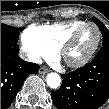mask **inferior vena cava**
I'll return each mask as SVG.
<instances>
[{"label": "inferior vena cava", "mask_w": 109, "mask_h": 109, "mask_svg": "<svg viewBox=\"0 0 109 109\" xmlns=\"http://www.w3.org/2000/svg\"><path fill=\"white\" fill-rule=\"evenodd\" d=\"M22 56V55H21ZM24 57V56H23ZM28 61L30 62H36L38 64H41L42 63V60L39 59V58H36V57H33V56H27L26 58Z\"/></svg>", "instance_id": "obj_1"}]
</instances>
